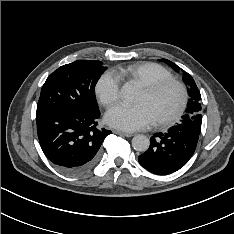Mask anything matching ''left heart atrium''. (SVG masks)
Wrapping results in <instances>:
<instances>
[{
  "label": "left heart atrium",
  "instance_id": "1",
  "mask_svg": "<svg viewBox=\"0 0 234 234\" xmlns=\"http://www.w3.org/2000/svg\"><path fill=\"white\" fill-rule=\"evenodd\" d=\"M105 121L111 127L123 131L145 129L154 122L149 110L143 104L116 105L107 111Z\"/></svg>",
  "mask_w": 234,
  "mask_h": 234
}]
</instances>
